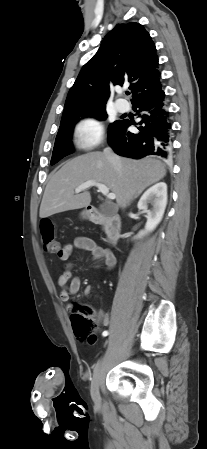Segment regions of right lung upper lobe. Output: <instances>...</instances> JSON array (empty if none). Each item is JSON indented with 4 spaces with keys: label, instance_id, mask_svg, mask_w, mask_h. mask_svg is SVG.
Returning <instances> with one entry per match:
<instances>
[{
    "label": "right lung upper lobe",
    "instance_id": "cb5924a9",
    "mask_svg": "<svg viewBox=\"0 0 207 449\" xmlns=\"http://www.w3.org/2000/svg\"><path fill=\"white\" fill-rule=\"evenodd\" d=\"M149 33L139 23L118 24L98 52L82 67L65 102L62 119L105 109L110 84H129L132 102L161 90L158 56Z\"/></svg>",
    "mask_w": 207,
    "mask_h": 449
}]
</instances>
